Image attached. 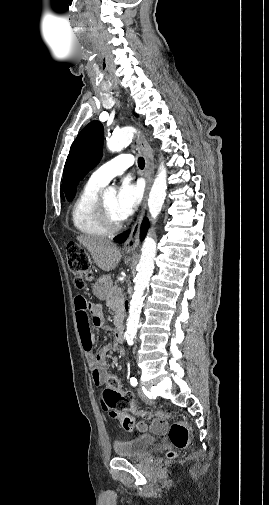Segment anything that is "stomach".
I'll return each instance as SVG.
<instances>
[{
    "label": "stomach",
    "mask_w": 269,
    "mask_h": 505,
    "mask_svg": "<svg viewBox=\"0 0 269 505\" xmlns=\"http://www.w3.org/2000/svg\"><path fill=\"white\" fill-rule=\"evenodd\" d=\"M95 294L103 299L106 297L109 289L112 287V280L109 275L99 277L93 285Z\"/></svg>",
    "instance_id": "stomach-1"
}]
</instances>
